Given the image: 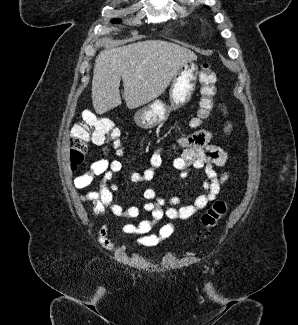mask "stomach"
I'll list each match as a JSON object with an SVG mask.
<instances>
[{"label":"stomach","instance_id":"0dacf381","mask_svg":"<svg viewBox=\"0 0 298 325\" xmlns=\"http://www.w3.org/2000/svg\"><path fill=\"white\" fill-rule=\"evenodd\" d=\"M198 66L196 62H184L173 76L169 88V104L164 100H153L134 114V120L141 128H153L167 120L171 110L181 108L190 102L197 84Z\"/></svg>","mask_w":298,"mask_h":325}]
</instances>
